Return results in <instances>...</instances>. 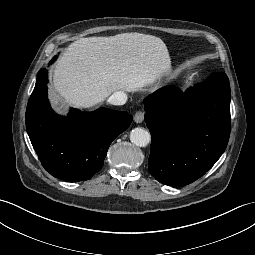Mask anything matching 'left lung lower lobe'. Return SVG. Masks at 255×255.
<instances>
[{"label":"left lung lower lobe","mask_w":255,"mask_h":255,"mask_svg":"<svg viewBox=\"0 0 255 255\" xmlns=\"http://www.w3.org/2000/svg\"><path fill=\"white\" fill-rule=\"evenodd\" d=\"M151 133L149 171L160 183L185 186L223 154L230 135V86L225 73L183 93L166 86L144 99Z\"/></svg>","instance_id":"1"}]
</instances>
